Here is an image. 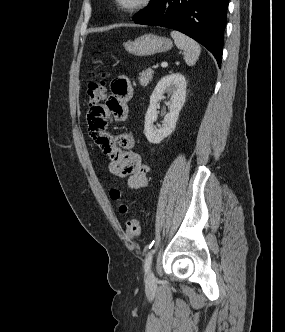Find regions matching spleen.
Returning <instances> with one entry per match:
<instances>
[{"label":"spleen","instance_id":"1","mask_svg":"<svg viewBox=\"0 0 285 332\" xmlns=\"http://www.w3.org/2000/svg\"><path fill=\"white\" fill-rule=\"evenodd\" d=\"M171 37L174 39L176 46L183 51L186 64L189 66L194 65L201 52L200 45L190 37L178 31H172Z\"/></svg>","mask_w":285,"mask_h":332}]
</instances>
